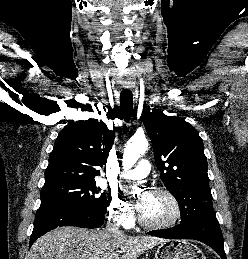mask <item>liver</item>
<instances>
[{"instance_id": "obj_1", "label": "liver", "mask_w": 248, "mask_h": 259, "mask_svg": "<svg viewBox=\"0 0 248 259\" xmlns=\"http://www.w3.org/2000/svg\"><path fill=\"white\" fill-rule=\"evenodd\" d=\"M163 242L166 240L154 236L116 235L105 230L64 226L38 238L28 259H137Z\"/></svg>"}]
</instances>
